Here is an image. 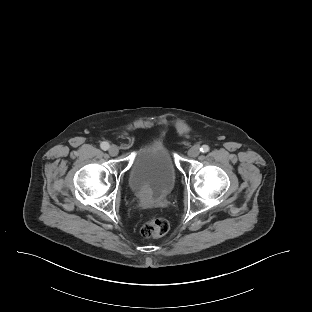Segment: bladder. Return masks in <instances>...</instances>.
I'll list each match as a JSON object with an SVG mask.
<instances>
[{"label": "bladder", "instance_id": "31cf9c89", "mask_svg": "<svg viewBox=\"0 0 312 312\" xmlns=\"http://www.w3.org/2000/svg\"><path fill=\"white\" fill-rule=\"evenodd\" d=\"M178 170L165 141L155 138L136 154L128 173L130 189L146 201L168 194L175 186Z\"/></svg>", "mask_w": 312, "mask_h": 312}]
</instances>
